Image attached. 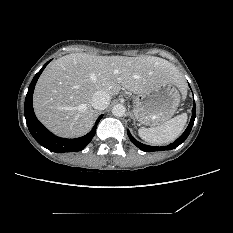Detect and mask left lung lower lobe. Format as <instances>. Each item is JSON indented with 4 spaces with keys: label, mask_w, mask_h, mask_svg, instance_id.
<instances>
[{
    "label": "left lung lower lobe",
    "mask_w": 233,
    "mask_h": 233,
    "mask_svg": "<svg viewBox=\"0 0 233 233\" xmlns=\"http://www.w3.org/2000/svg\"><path fill=\"white\" fill-rule=\"evenodd\" d=\"M195 117H196V112H195V102H194L193 109H192L191 121H190L187 129L184 131V133L176 141H174L173 143H171L167 146L158 147V146H149V145L142 144V143L138 142L131 135L129 130H128V137L134 145H136L139 149H141L145 152L172 150V149H175L176 147H178L181 143H183L186 140V138L190 134L191 129L193 127Z\"/></svg>",
    "instance_id": "obj_1"
}]
</instances>
